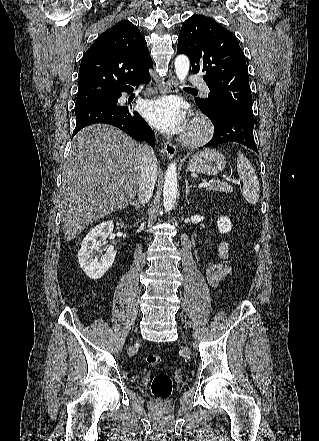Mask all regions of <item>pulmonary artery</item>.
Segmentation results:
<instances>
[{
  "label": "pulmonary artery",
  "mask_w": 319,
  "mask_h": 441,
  "mask_svg": "<svg viewBox=\"0 0 319 441\" xmlns=\"http://www.w3.org/2000/svg\"><path fill=\"white\" fill-rule=\"evenodd\" d=\"M189 81H190V83H192L196 86H199L203 90L204 93L208 94L210 92L208 86L206 85L205 81L201 77H199L197 75H192L189 78Z\"/></svg>",
  "instance_id": "pulmonary-artery-1"
}]
</instances>
